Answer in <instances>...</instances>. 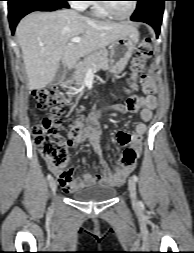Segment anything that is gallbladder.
Segmentation results:
<instances>
[{
    "label": "gallbladder",
    "mask_w": 194,
    "mask_h": 253,
    "mask_svg": "<svg viewBox=\"0 0 194 253\" xmlns=\"http://www.w3.org/2000/svg\"><path fill=\"white\" fill-rule=\"evenodd\" d=\"M65 71H66L65 66L63 64H60V66H59V68H58V70H57V72H56V74H55V76L52 80V83L54 85H58V84L61 83V81L64 77V74H65Z\"/></svg>",
    "instance_id": "1"
}]
</instances>
